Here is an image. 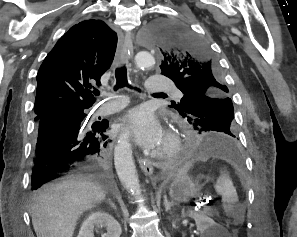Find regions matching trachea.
Segmentation results:
<instances>
[{
  "label": "trachea",
  "instance_id": "obj_1",
  "mask_svg": "<svg viewBox=\"0 0 297 237\" xmlns=\"http://www.w3.org/2000/svg\"><path fill=\"white\" fill-rule=\"evenodd\" d=\"M115 77H116V85L114 87V90H117V89L123 88V87L132 88L128 83L127 69L125 66H122V67L116 69ZM135 89L140 91L137 88H135ZM93 93H94V95H99V91L96 89L93 91Z\"/></svg>",
  "mask_w": 297,
  "mask_h": 237
}]
</instances>
